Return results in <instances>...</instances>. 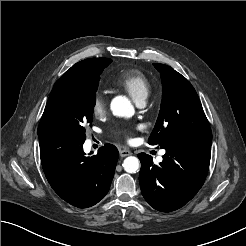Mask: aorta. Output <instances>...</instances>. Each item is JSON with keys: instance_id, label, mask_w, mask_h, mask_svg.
<instances>
[{"instance_id": "aorta-1", "label": "aorta", "mask_w": 246, "mask_h": 246, "mask_svg": "<svg viewBox=\"0 0 246 246\" xmlns=\"http://www.w3.org/2000/svg\"><path fill=\"white\" fill-rule=\"evenodd\" d=\"M111 110L118 117L130 118L134 115V107L130 100L125 96H117L111 102ZM140 162L137 157L129 156L123 162V168L127 173H136Z\"/></svg>"}]
</instances>
